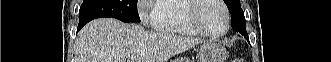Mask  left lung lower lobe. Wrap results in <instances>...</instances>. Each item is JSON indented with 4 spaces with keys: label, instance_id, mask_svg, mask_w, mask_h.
Returning a JSON list of instances; mask_svg holds the SVG:
<instances>
[{
    "label": "left lung lower lobe",
    "instance_id": "1",
    "mask_svg": "<svg viewBox=\"0 0 331 62\" xmlns=\"http://www.w3.org/2000/svg\"><path fill=\"white\" fill-rule=\"evenodd\" d=\"M231 25H232V28H233L234 31L241 33L242 35H244V37H246V39H248L247 32L243 27L238 26L234 22H232Z\"/></svg>",
    "mask_w": 331,
    "mask_h": 62
}]
</instances>
